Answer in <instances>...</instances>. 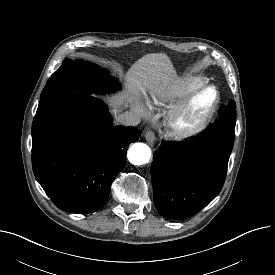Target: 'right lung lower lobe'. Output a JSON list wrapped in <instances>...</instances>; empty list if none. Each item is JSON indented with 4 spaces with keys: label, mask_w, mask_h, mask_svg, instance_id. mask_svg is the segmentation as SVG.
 Returning <instances> with one entry per match:
<instances>
[{
    "label": "right lung lower lobe",
    "mask_w": 275,
    "mask_h": 275,
    "mask_svg": "<svg viewBox=\"0 0 275 275\" xmlns=\"http://www.w3.org/2000/svg\"><path fill=\"white\" fill-rule=\"evenodd\" d=\"M140 134L133 126L113 127L100 100L62 92L34 117V175L61 210L93 213L106 202L128 146Z\"/></svg>",
    "instance_id": "1"
}]
</instances>
